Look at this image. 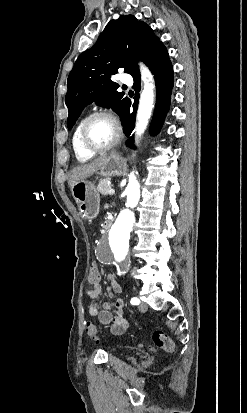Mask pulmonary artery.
Here are the masks:
<instances>
[{"mask_svg":"<svg viewBox=\"0 0 247 413\" xmlns=\"http://www.w3.org/2000/svg\"><path fill=\"white\" fill-rule=\"evenodd\" d=\"M129 79H130L129 76L126 75V74H125V75L119 74L118 77L116 78L117 81L123 82V85H124V86H129V85H131L132 87H135V86H133L132 83H131L132 80L135 79V78H132L131 80H129Z\"/></svg>","mask_w":247,"mask_h":413,"instance_id":"pulmonary-artery-1","label":"pulmonary artery"}]
</instances>
